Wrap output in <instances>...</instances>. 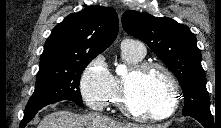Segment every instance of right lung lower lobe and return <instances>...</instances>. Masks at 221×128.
<instances>
[{"label":"right lung lower lobe","instance_id":"obj_1","mask_svg":"<svg viewBox=\"0 0 221 128\" xmlns=\"http://www.w3.org/2000/svg\"><path fill=\"white\" fill-rule=\"evenodd\" d=\"M46 105H42L36 108H33L29 111H26L24 114V118L20 124V128H24L26 126V124L35 116V114Z\"/></svg>","mask_w":221,"mask_h":128}]
</instances>
